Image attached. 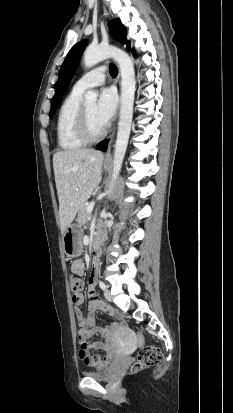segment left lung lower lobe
Returning a JSON list of instances; mask_svg holds the SVG:
<instances>
[{"instance_id":"left-lung-lower-lobe-1","label":"left lung lower lobe","mask_w":233,"mask_h":413,"mask_svg":"<svg viewBox=\"0 0 233 413\" xmlns=\"http://www.w3.org/2000/svg\"><path fill=\"white\" fill-rule=\"evenodd\" d=\"M129 50H130V48H129ZM132 53H133V55H135V51H134V50H132ZM108 143H109V141H105V142H103L102 144H100L96 149L105 152L106 149H107Z\"/></svg>"}]
</instances>
